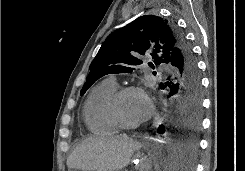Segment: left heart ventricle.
<instances>
[{
	"mask_svg": "<svg viewBox=\"0 0 245 171\" xmlns=\"http://www.w3.org/2000/svg\"><path fill=\"white\" fill-rule=\"evenodd\" d=\"M145 97L137 94L130 93L125 95L120 102V114L122 118L129 123H140Z\"/></svg>",
	"mask_w": 245,
	"mask_h": 171,
	"instance_id": "obj_1",
	"label": "left heart ventricle"
}]
</instances>
